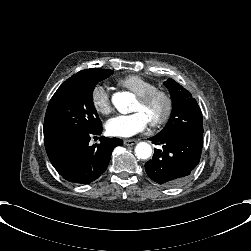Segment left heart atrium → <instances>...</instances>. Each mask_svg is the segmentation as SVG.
<instances>
[{"label": "left heart atrium", "mask_w": 251, "mask_h": 251, "mask_svg": "<svg viewBox=\"0 0 251 251\" xmlns=\"http://www.w3.org/2000/svg\"><path fill=\"white\" fill-rule=\"evenodd\" d=\"M151 122L148 114L142 110L130 114H119L110 118L106 129L112 136L130 137L143 131Z\"/></svg>", "instance_id": "left-heart-atrium-1"}]
</instances>
